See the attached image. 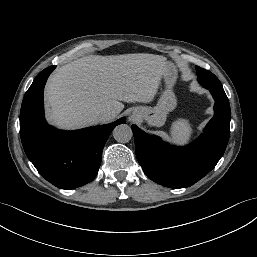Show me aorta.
Listing matches in <instances>:
<instances>
[{
  "label": "aorta",
  "instance_id": "1",
  "mask_svg": "<svg viewBox=\"0 0 257 257\" xmlns=\"http://www.w3.org/2000/svg\"><path fill=\"white\" fill-rule=\"evenodd\" d=\"M132 136V129L126 124L118 125L113 130L114 139L120 143L129 142L132 139Z\"/></svg>",
  "mask_w": 257,
  "mask_h": 257
}]
</instances>
